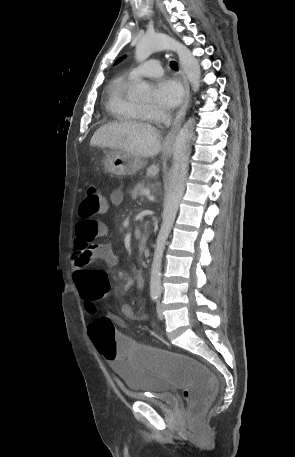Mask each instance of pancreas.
<instances>
[{"instance_id":"cf45deb5","label":"pancreas","mask_w":295,"mask_h":457,"mask_svg":"<svg viewBox=\"0 0 295 457\" xmlns=\"http://www.w3.org/2000/svg\"><path fill=\"white\" fill-rule=\"evenodd\" d=\"M146 189V185L144 183H138L137 185L134 186L133 189L130 190V194L133 199H136L139 196H142L143 190Z\"/></svg>"}]
</instances>
